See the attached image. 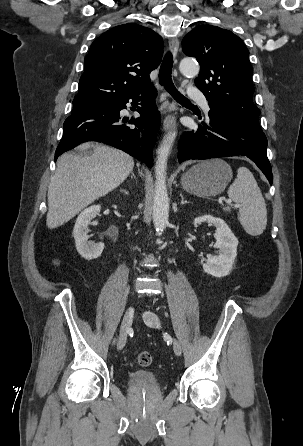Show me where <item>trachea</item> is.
I'll list each match as a JSON object with an SVG mask.
<instances>
[{"instance_id": "1", "label": "trachea", "mask_w": 303, "mask_h": 446, "mask_svg": "<svg viewBox=\"0 0 303 446\" xmlns=\"http://www.w3.org/2000/svg\"><path fill=\"white\" fill-rule=\"evenodd\" d=\"M173 66V56L171 52H167L159 73V83L172 95V97L179 103H190L174 86L171 73Z\"/></svg>"}]
</instances>
